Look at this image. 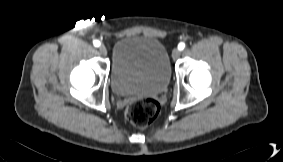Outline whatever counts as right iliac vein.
Listing matches in <instances>:
<instances>
[{"instance_id":"right-iliac-vein-1","label":"right iliac vein","mask_w":283,"mask_h":162,"mask_svg":"<svg viewBox=\"0 0 283 162\" xmlns=\"http://www.w3.org/2000/svg\"><path fill=\"white\" fill-rule=\"evenodd\" d=\"M99 51L102 55L106 56L107 55V48L104 45H101L99 47Z\"/></svg>"}]
</instances>
